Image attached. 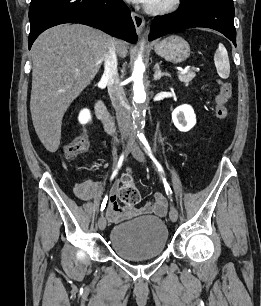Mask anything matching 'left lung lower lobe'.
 I'll return each instance as SVG.
<instances>
[{
  "instance_id": "1",
  "label": "left lung lower lobe",
  "mask_w": 261,
  "mask_h": 306,
  "mask_svg": "<svg viewBox=\"0 0 261 306\" xmlns=\"http://www.w3.org/2000/svg\"><path fill=\"white\" fill-rule=\"evenodd\" d=\"M194 27L217 30L236 46L234 27V5L232 0H192L182 3L180 9L172 14L153 19L149 40L170 32Z\"/></svg>"
}]
</instances>
